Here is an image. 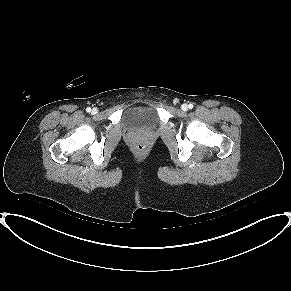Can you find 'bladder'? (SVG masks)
<instances>
[{"label": "bladder", "instance_id": "1", "mask_svg": "<svg viewBox=\"0 0 291 291\" xmlns=\"http://www.w3.org/2000/svg\"><path fill=\"white\" fill-rule=\"evenodd\" d=\"M125 122L129 127H154L159 122L158 112L149 105L132 106L125 114Z\"/></svg>", "mask_w": 291, "mask_h": 291}]
</instances>
